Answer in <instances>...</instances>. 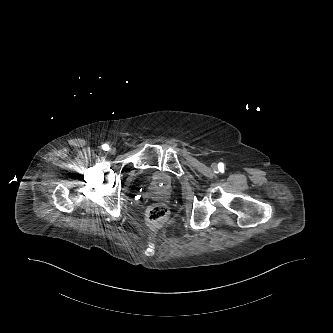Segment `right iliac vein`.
Masks as SVG:
<instances>
[{
    "label": "right iliac vein",
    "instance_id": "63e3f726",
    "mask_svg": "<svg viewBox=\"0 0 333 333\" xmlns=\"http://www.w3.org/2000/svg\"><path fill=\"white\" fill-rule=\"evenodd\" d=\"M109 152H110V154L115 155L116 152H117V150H116V148L111 147L110 150H109Z\"/></svg>",
    "mask_w": 333,
    "mask_h": 333
}]
</instances>
